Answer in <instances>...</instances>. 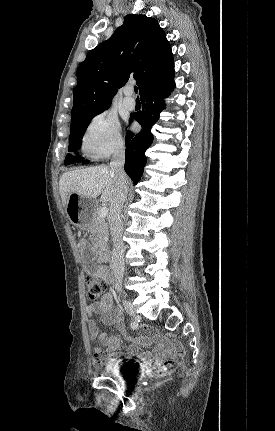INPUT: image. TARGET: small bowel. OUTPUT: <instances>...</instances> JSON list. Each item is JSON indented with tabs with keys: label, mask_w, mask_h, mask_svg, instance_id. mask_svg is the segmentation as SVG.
Masks as SVG:
<instances>
[{
	"label": "small bowel",
	"mask_w": 275,
	"mask_h": 431,
	"mask_svg": "<svg viewBox=\"0 0 275 431\" xmlns=\"http://www.w3.org/2000/svg\"><path fill=\"white\" fill-rule=\"evenodd\" d=\"M80 248L81 257L86 267L104 282L109 283L111 274L106 267L97 264L90 244L82 241ZM87 313L90 316L97 317L104 325H116L120 332V335L100 333L97 321L95 319L88 321L89 337L93 340L96 339L98 342L92 354V360L95 364L119 361L122 357V353L119 351L122 338L131 341L127 348V355L137 356L146 367L154 362L157 368L165 367L168 370L183 356V347L178 342L171 341L160 335L152 327L143 326V335L131 338L126 332L121 310L113 304V293L111 291L104 293L100 301L89 304ZM153 345L160 350V353L154 359L150 357L148 352H139L140 346L150 348ZM105 354L107 356H104Z\"/></svg>",
	"instance_id": "1"
}]
</instances>
